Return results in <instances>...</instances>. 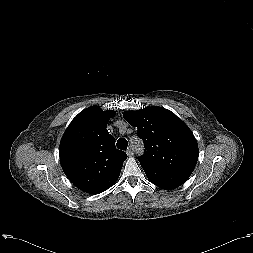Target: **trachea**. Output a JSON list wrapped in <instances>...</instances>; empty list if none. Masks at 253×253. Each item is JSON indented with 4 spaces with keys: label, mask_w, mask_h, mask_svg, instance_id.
<instances>
[{
    "label": "trachea",
    "mask_w": 253,
    "mask_h": 253,
    "mask_svg": "<svg viewBox=\"0 0 253 253\" xmlns=\"http://www.w3.org/2000/svg\"><path fill=\"white\" fill-rule=\"evenodd\" d=\"M116 146L120 150H126L127 146H128V142L126 139L120 138V139H118Z\"/></svg>",
    "instance_id": "trachea-1"
}]
</instances>
